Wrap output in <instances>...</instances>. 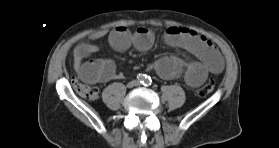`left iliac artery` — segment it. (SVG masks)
I'll use <instances>...</instances> for the list:
<instances>
[{"label": "left iliac artery", "instance_id": "left-iliac-artery-1", "mask_svg": "<svg viewBox=\"0 0 279 148\" xmlns=\"http://www.w3.org/2000/svg\"><path fill=\"white\" fill-rule=\"evenodd\" d=\"M151 83H152V80H151V78H150V77H148V78L146 79V81H145L144 85H145V86H150V85H151Z\"/></svg>", "mask_w": 279, "mask_h": 148}]
</instances>
